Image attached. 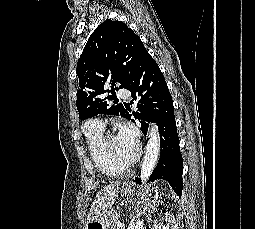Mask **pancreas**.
Listing matches in <instances>:
<instances>
[{"mask_svg": "<svg viewBox=\"0 0 255 229\" xmlns=\"http://www.w3.org/2000/svg\"><path fill=\"white\" fill-rule=\"evenodd\" d=\"M118 224H119V223L116 221V222L113 224L112 229H124L123 227H122V228L118 227Z\"/></svg>", "mask_w": 255, "mask_h": 229, "instance_id": "pancreas-1", "label": "pancreas"}]
</instances>
